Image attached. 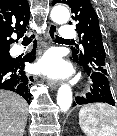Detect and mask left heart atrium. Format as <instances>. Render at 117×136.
<instances>
[{"instance_id": "39dd6f15", "label": "left heart atrium", "mask_w": 117, "mask_h": 136, "mask_svg": "<svg viewBox=\"0 0 117 136\" xmlns=\"http://www.w3.org/2000/svg\"><path fill=\"white\" fill-rule=\"evenodd\" d=\"M37 70L48 77L57 78L69 72L68 65L61 59L58 53L48 52L38 63Z\"/></svg>"}]
</instances>
